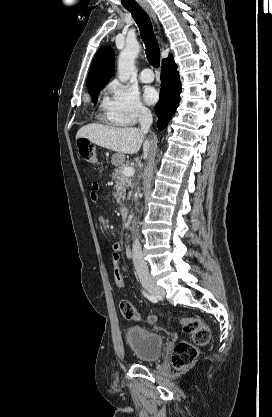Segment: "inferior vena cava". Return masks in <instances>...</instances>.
I'll return each mask as SVG.
<instances>
[{
    "mask_svg": "<svg viewBox=\"0 0 272 417\" xmlns=\"http://www.w3.org/2000/svg\"><path fill=\"white\" fill-rule=\"evenodd\" d=\"M138 119L141 125V130L143 132H148L153 122V118H152V114L150 110L144 107L140 108ZM132 258H133V263H134V267L136 269L137 274L139 276H144V275L148 276L149 274L148 266L144 260L141 246L137 238L135 239L133 243Z\"/></svg>",
    "mask_w": 272,
    "mask_h": 417,
    "instance_id": "1",
    "label": "inferior vena cava"
}]
</instances>
